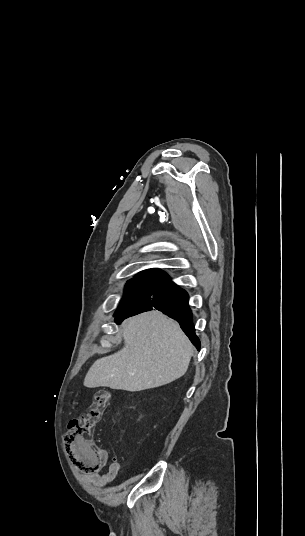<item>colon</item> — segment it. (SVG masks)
<instances>
[{"label":"colon","mask_w":305,"mask_h":536,"mask_svg":"<svg viewBox=\"0 0 305 536\" xmlns=\"http://www.w3.org/2000/svg\"><path fill=\"white\" fill-rule=\"evenodd\" d=\"M110 394L106 390L97 391L88 411L70 422L69 433L62 435L61 443L68 452L71 471L96 473L107 471L108 462L104 460L105 451L95 446L91 435L95 426L101 421L109 404Z\"/></svg>","instance_id":"colon-1"}]
</instances>
